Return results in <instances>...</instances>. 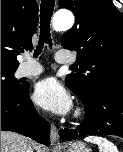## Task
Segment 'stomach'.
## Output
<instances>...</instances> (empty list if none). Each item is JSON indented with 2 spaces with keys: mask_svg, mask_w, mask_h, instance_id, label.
I'll list each match as a JSON object with an SVG mask.
<instances>
[{
  "mask_svg": "<svg viewBox=\"0 0 123 152\" xmlns=\"http://www.w3.org/2000/svg\"><path fill=\"white\" fill-rule=\"evenodd\" d=\"M67 152H91V149L85 143L77 141L68 147Z\"/></svg>",
  "mask_w": 123,
  "mask_h": 152,
  "instance_id": "0dacf381",
  "label": "stomach"
}]
</instances>
